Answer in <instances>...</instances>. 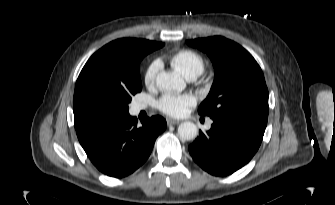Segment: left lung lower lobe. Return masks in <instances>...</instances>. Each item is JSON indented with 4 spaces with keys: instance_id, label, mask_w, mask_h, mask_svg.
<instances>
[{
    "instance_id": "1",
    "label": "left lung lower lobe",
    "mask_w": 335,
    "mask_h": 205,
    "mask_svg": "<svg viewBox=\"0 0 335 205\" xmlns=\"http://www.w3.org/2000/svg\"><path fill=\"white\" fill-rule=\"evenodd\" d=\"M211 129L188 147L194 161L215 176H226L247 164L257 152L266 127L243 119L211 117Z\"/></svg>"
}]
</instances>
